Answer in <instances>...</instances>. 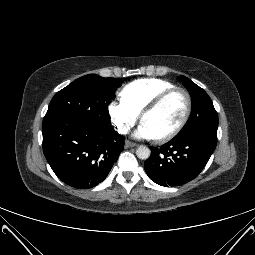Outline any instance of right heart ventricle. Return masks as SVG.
I'll list each match as a JSON object with an SVG mask.
<instances>
[{
	"instance_id": "e07e8e85",
	"label": "right heart ventricle",
	"mask_w": 255,
	"mask_h": 255,
	"mask_svg": "<svg viewBox=\"0 0 255 255\" xmlns=\"http://www.w3.org/2000/svg\"><path fill=\"white\" fill-rule=\"evenodd\" d=\"M173 87V83L162 79L135 80L122 89L121 98L140 114L156 96Z\"/></svg>"
}]
</instances>
